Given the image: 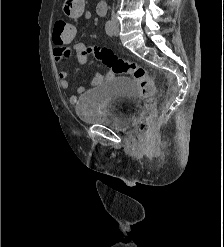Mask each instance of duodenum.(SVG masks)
Masks as SVG:
<instances>
[{
  "label": "duodenum",
  "instance_id": "1",
  "mask_svg": "<svg viewBox=\"0 0 224 247\" xmlns=\"http://www.w3.org/2000/svg\"><path fill=\"white\" fill-rule=\"evenodd\" d=\"M107 10L106 0H99L96 5V12L99 16H104Z\"/></svg>",
  "mask_w": 224,
  "mask_h": 247
}]
</instances>
